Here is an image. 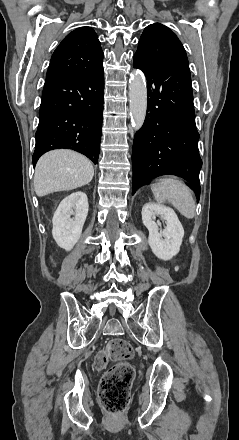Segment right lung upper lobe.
<instances>
[{
  "label": "right lung upper lobe",
  "instance_id": "1",
  "mask_svg": "<svg viewBox=\"0 0 239 440\" xmlns=\"http://www.w3.org/2000/svg\"><path fill=\"white\" fill-rule=\"evenodd\" d=\"M103 68V51L91 27L68 34L54 51L47 71L50 76L89 75Z\"/></svg>",
  "mask_w": 239,
  "mask_h": 440
}]
</instances>
